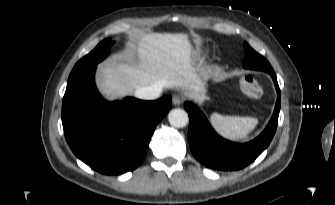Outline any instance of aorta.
Segmentation results:
<instances>
[{
    "label": "aorta",
    "instance_id": "762f6f07",
    "mask_svg": "<svg viewBox=\"0 0 335 205\" xmlns=\"http://www.w3.org/2000/svg\"><path fill=\"white\" fill-rule=\"evenodd\" d=\"M169 123L177 128L185 127L189 121L186 111L180 108L173 109L168 114Z\"/></svg>",
    "mask_w": 335,
    "mask_h": 205
}]
</instances>
